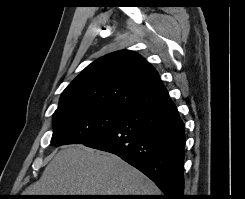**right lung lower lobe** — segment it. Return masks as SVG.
<instances>
[{
	"instance_id": "98d812e1",
	"label": "right lung lower lobe",
	"mask_w": 245,
	"mask_h": 199,
	"mask_svg": "<svg viewBox=\"0 0 245 199\" xmlns=\"http://www.w3.org/2000/svg\"><path fill=\"white\" fill-rule=\"evenodd\" d=\"M185 127L170 97L131 111L111 129L83 143L113 153L148 176L163 199H182Z\"/></svg>"
}]
</instances>
